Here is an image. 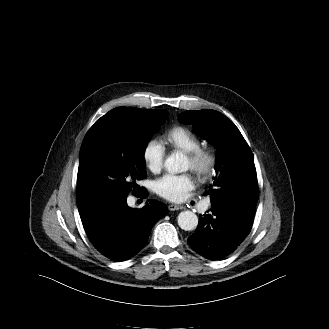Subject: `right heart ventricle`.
<instances>
[{"label": "right heart ventricle", "mask_w": 329, "mask_h": 329, "mask_svg": "<svg viewBox=\"0 0 329 329\" xmlns=\"http://www.w3.org/2000/svg\"><path fill=\"white\" fill-rule=\"evenodd\" d=\"M164 138L172 148L183 152H189L201 146V139L185 126L170 128Z\"/></svg>", "instance_id": "right-heart-ventricle-1"}]
</instances>
